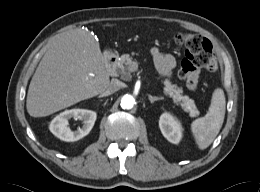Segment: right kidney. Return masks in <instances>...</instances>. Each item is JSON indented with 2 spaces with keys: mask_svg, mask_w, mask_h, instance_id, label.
Returning a JSON list of instances; mask_svg holds the SVG:
<instances>
[{
  "mask_svg": "<svg viewBox=\"0 0 260 192\" xmlns=\"http://www.w3.org/2000/svg\"><path fill=\"white\" fill-rule=\"evenodd\" d=\"M97 114L87 109L66 110L57 115L50 123V131L63 141H77L86 136L94 126ZM71 118L83 120V126L76 131L68 127Z\"/></svg>",
  "mask_w": 260,
  "mask_h": 192,
  "instance_id": "1",
  "label": "right kidney"
}]
</instances>
